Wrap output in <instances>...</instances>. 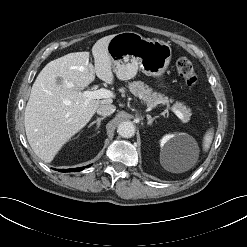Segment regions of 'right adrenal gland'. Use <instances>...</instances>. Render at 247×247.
I'll return each instance as SVG.
<instances>
[{
    "instance_id": "1",
    "label": "right adrenal gland",
    "mask_w": 247,
    "mask_h": 247,
    "mask_svg": "<svg viewBox=\"0 0 247 247\" xmlns=\"http://www.w3.org/2000/svg\"><path fill=\"white\" fill-rule=\"evenodd\" d=\"M106 117H100V118H97L95 121L91 122L88 126V128H90L92 125L96 124L97 127L96 129H98L101 125V121L104 120Z\"/></svg>"
}]
</instances>
